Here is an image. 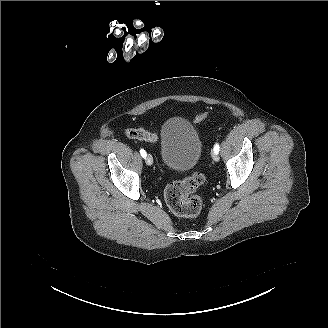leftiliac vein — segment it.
<instances>
[{
  "mask_svg": "<svg viewBox=\"0 0 328 328\" xmlns=\"http://www.w3.org/2000/svg\"><path fill=\"white\" fill-rule=\"evenodd\" d=\"M211 156H212V159H213L215 162H218V161H219V156L217 155V153L212 152Z\"/></svg>",
  "mask_w": 328,
  "mask_h": 328,
  "instance_id": "obj_1",
  "label": "left iliac vein"
}]
</instances>
